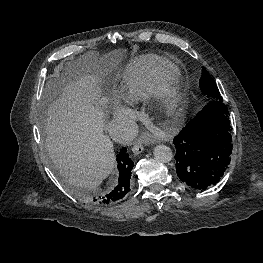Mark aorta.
<instances>
[{"label": "aorta", "mask_w": 263, "mask_h": 263, "mask_svg": "<svg viewBox=\"0 0 263 263\" xmlns=\"http://www.w3.org/2000/svg\"><path fill=\"white\" fill-rule=\"evenodd\" d=\"M154 157L162 162L168 163L173 158L172 150L166 145H157L153 151Z\"/></svg>", "instance_id": "762f6f07"}]
</instances>
